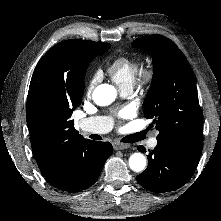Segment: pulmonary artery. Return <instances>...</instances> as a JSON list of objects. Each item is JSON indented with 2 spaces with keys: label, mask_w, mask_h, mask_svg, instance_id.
Listing matches in <instances>:
<instances>
[{
  "label": "pulmonary artery",
  "mask_w": 221,
  "mask_h": 221,
  "mask_svg": "<svg viewBox=\"0 0 221 221\" xmlns=\"http://www.w3.org/2000/svg\"><path fill=\"white\" fill-rule=\"evenodd\" d=\"M132 91V88L126 87L122 89V93L124 95L130 94ZM79 126L83 131L91 132V133H97V134H103L111 130L112 128V122L106 118V117H89L82 119L79 122ZM158 141L156 137H153L149 141L150 147L154 148L156 147Z\"/></svg>",
  "instance_id": "1"
}]
</instances>
